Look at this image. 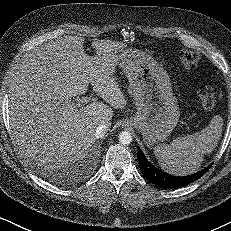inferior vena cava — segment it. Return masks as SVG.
<instances>
[{"mask_svg":"<svg viewBox=\"0 0 231 231\" xmlns=\"http://www.w3.org/2000/svg\"><path fill=\"white\" fill-rule=\"evenodd\" d=\"M111 126V123H102V124H99L96 128V132H95V137L96 138H101L103 137L107 131L109 130Z\"/></svg>","mask_w":231,"mask_h":231,"instance_id":"1","label":"inferior vena cava"}]
</instances>
